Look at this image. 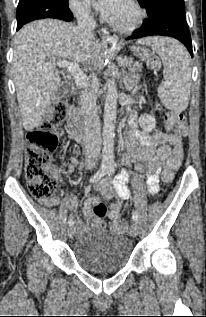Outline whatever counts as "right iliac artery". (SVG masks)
Instances as JSON below:
<instances>
[{
  "instance_id": "right-iliac-artery-1",
  "label": "right iliac artery",
  "mask_w": 206,
  "mask_h": 317,
  "mask_svg": "<svg viewBox=\"0 0 206 317\" xmlns=\"http://www.w3.org/2000/svg\"><path fill=\"white\" fill-rule=\"evenodd\" d=\"M107 174V168L101 167L97 173H95L92 178L90 179V183H95L100 181L105 175ZM68 224L72 225L73 220L70 218L68 220Z\"/></svg>"
}]
</instances>
